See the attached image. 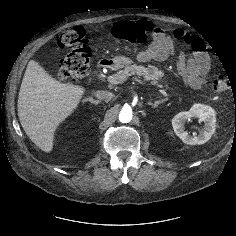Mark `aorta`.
<instances>
[{
    "instance_id": "aorta-1",
    "label": "aorta",
    "mask_w": 236,
    "mask_h": 236,
    "mask_svg": "<svg viewBox=\"0 0 236 236\" xmlns=\"http://www.w3.org/2000/svg\"><path fill=\"white\" fill-rule=\"evenodd\" d=\"M132 109L130 107H123L119 113V121L121 123H129L132 120Z\"/></svg>"
}]
</instances>
